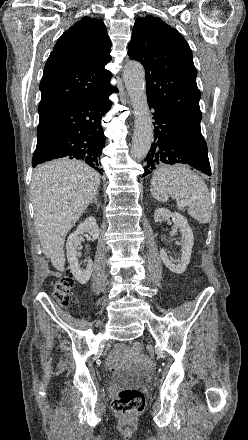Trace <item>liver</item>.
I'll use <instances>...</instances> for the list:
<instances>
[{
	"mask_svg": "<svg viewBox=\"0 0 248 440\" xmlns=\"http://www.w3.org/2000/svg\"><path fill=\"white\" fill-rule=\"evenodd\" d=\"M100 176L86 163L64 158L35 168L31 197L35 226L44 255L65 269L66 235L97 194Z\"/></svg>",
	"mask_w": 248,
	"mask_h": 440,
	"instance_id": "6515ba94",
	"label": "liver"
}]
</instances>
